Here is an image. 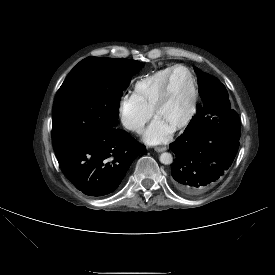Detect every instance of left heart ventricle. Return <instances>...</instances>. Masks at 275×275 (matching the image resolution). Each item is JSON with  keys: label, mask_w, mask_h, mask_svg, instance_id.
<instances>
[{"label": "left heart ventricle", "mask_w": 275, "mask_h": 275, "mask_svg": "<svg viewBox=\"0 0 275 275\" xmlns=\"http://www.w3.org/2000/svg\"><path fill=\"white\" fill-rule=\"evenodd\" d=\"M191 98L189 76L185 70L178 69L172 76L168 97L157 117L173 128L186 117Z\"/></svg>", "instance_id": "1"}]
</instances>
